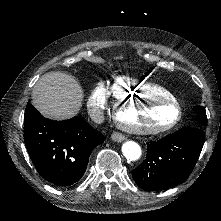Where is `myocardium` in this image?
<instances>
[{
	"instance_id": "myocardium-1",
	"label": "myocardium",
	"mask_w": 221,
	"mask_h": 221,
	"mask_svg": "<svg viewBox=\"0 0 221 221\" xmlns=\"http://www.w3.org/2000/svg\"><path fill=\"white\" fill-rule=\"evenodd\" d=\"M174 103L175 107V115L172 118L171 121L164 125H159V126H152L150 124H139L135 122H130L126 119H123L122 116L125 113V111L129 110L130 108L138 106V108H143L145 106V103L147 104H153V103H164V104H171ZM114 114H113V120L116 124V126L120 127L119 130L122 134L128 135V134H136L137 132L139 133H146V134H151L153 133H162V132H167L175 127H177L184 115V110L183 106L180 102V100H171L167 96H163L161 94L157 95H135L129 99L125 98L122 100L121 104L120 103H115L114 104Z\"/></svg>"
}]
</instances>
